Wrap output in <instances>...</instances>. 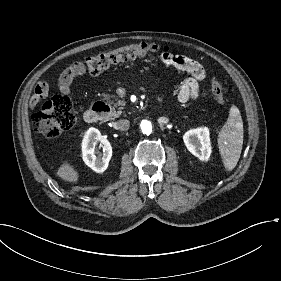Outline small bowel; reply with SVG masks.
Returning a JSON list of instances; mask_svg holds the SVG:
<instances>
[{
  "label": "small bowel",
  "mask_w": 281,
  "mask_h": 281,
  "mask_svg": "<svg viewBox=\"0 0 281 281\" xmlns=\"http://www.w3.org/2000/svg\"><path fill=\"white\" fill-rule=\"evenodd\" d=\"M161 61L172 68L187 72L190 77L187 78L178 93V101L180 103H187L195 100L199 95L200 84L205 80L206 74L203 66L197 61L180 54L163 53ZM84 73L80 62L73 64L65 69L58 81V88L62 94H69L73 80ZM34 90L37 94L30 97V107L34 108L41 101L47 99V93L50 90V85L45 80H39L34 85Z\"/></svg>",
  "instance_id": "1"
}]
</instances>
